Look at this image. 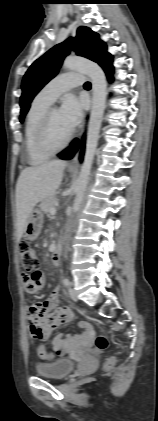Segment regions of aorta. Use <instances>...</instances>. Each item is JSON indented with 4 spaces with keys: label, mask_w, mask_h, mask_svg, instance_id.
<instances>
[{
    "label": "aorta",
    "mask_w": 158,
    "mask_h": 421,
    "mask_svg": "<svg viewBox=\"0 0 158 421\" xmlns=\"http://www.w3.org/2000/svg\"><path fill=\"white\" fill-rule=\"evenodd\" d=\"M63 67L65 69L77 70L86 74L91 79L93 92L85 156L76 182L75 199L72 207L73 210L76 211L79 209L83 201L99 140V133L106 103L107 83L105 74L101 67L88 59L81 57H69L64 60Z\"/></svg>",
    "instance_id": "obj_1"
}]
</instances>
